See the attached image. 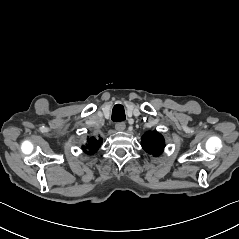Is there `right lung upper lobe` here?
<instances>
[{
    "instance_id": "cb5924a9",
    "label": "right lung upper lobe",
    "mask_w": 239,
    "mask_h": 239,
    "mask_svg": "<svg viewBox=\"0 0 239 239\" xmlns=\"http://www.w3.org/2000/svg\"><path fill=\"white\" fill-rule=\"evenodd\" d=\"M101 143H102V138L96 139L95 137H90L88 138L87 143L82 146V149L87 154H94L97 152V150L101 146Z\"/></svg>"
}]
</instances>
